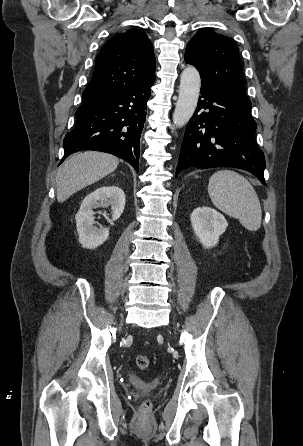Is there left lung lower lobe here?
I'll return each instance as SVG.
<instances>
[{
	"instance_id": "0a47b994",
	"label": "left lung lower lobe",
	"mask_w": 303,
	"mask_h": 446,
	"mask_svg": "<svg viewBox=\"0 0 303 446\" xmlns=\"http://www.w3.org/2000/svg\"><path fill=\"white\" fill-rule=\"evenodd\" d=\"M201 96L185 131L176 176L189 167H237L264 185L265 159L254 138L251 105L229 91L202 82Z\"/></svg>"
}]
</instances>
